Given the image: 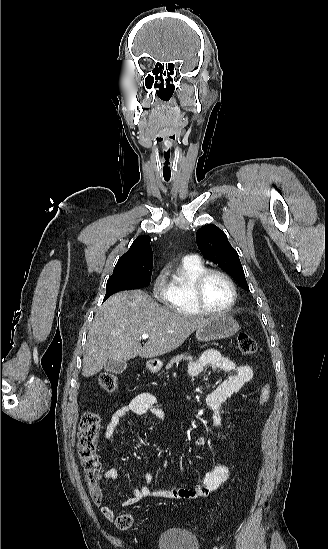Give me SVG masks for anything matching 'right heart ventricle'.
<instances>
[{"label":"right heart ventricle","mask_w":328,"mask_h":549,"mask_svg":"<svg viewBox=\"0 0 328 549\" xmlns=\"http://www.w3.org/2000/svg\"><path fill=\"white\" fill-rule=\"evenodd\" d=\"M207 267V262L199 255L182 258L176 271L166 281L159 303H171L172 310H180V319H203L191 305L194 304L191 288L194 278Z\"/></svg>","instance_id":"1"}]
</instances>
